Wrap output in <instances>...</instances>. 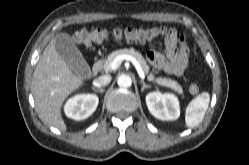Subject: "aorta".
Returning a JSON list of instances; mask_svg holds the SVG:
<instances>
[{
	"label": "aorta",
	"instance_id": "obj_1",
	"mask_svg": "<svg viewBox=\"0 0 249 165\" xmlns=\"http://www.w3.org/2000/svg\"><path fill=\"white\" fill-rule=\"evenodd\" d=\"M117 84L120 87L128 88L132 85L131 77L128 75H120L117 80Z\"/></svg>",
	"mask_w": 249,
	"mask_h": 165
}]
</instances>
